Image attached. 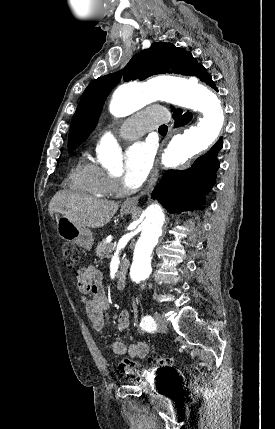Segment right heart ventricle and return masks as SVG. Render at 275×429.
<instances>
[{
  "mask_svg": "<svg viewBox=\"0 0 275 429\" xmlns=\"http://www.w3.org/2000/svg\"><path fill=\"white\" fill-rule=\"evenodd\" d=\"M69 184L73 190L96 197H108L112 188L110 176L91 157L84 158L72 170Z\"/></svg>",
  "mask_w": 275,
  "mask_h": 429,
  "instance_id": "right-heart-ventricle-1",
  "label": "right heart ventricle"
}]
</instances>
